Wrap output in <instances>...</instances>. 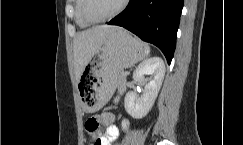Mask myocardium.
Returning a JSON list of instances; mask_svg holds the SVG:
<instances>
[{
  "label": "myocardium",
  "mask_w": 243,
  "mask_h": 145,
  "mask_svg": "<svg viewBox=\"0 0 243 145\" xmlns=\"http://www.w3.org/2000/svg\"><path fill=\"white\" fill-rule=\"evenodd\" d=\"M129 2H130V0H123L121 5L119 6V8L115 12H113L112 14H110L109 16H107L103 19L95 20V19H92L88 14L89 0H83L82 9H81L82 16H83V19L89 24H99V23L107 22V21L115 18L119 14H121L126 9Z\"/></svg>",
  "instance_id": "obj_1"
}]
</instances>
